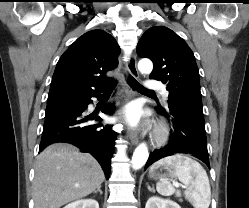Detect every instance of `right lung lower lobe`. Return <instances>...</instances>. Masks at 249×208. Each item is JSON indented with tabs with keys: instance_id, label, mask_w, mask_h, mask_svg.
I'll list each match as a JSON object with an SVG mask.
<instances>
[{
	"instance_id": "1",
	"label": "right lung lower lobe",
	"mask_w": 249,
	"mask_h": 208,
	"mask_svg": "<svg viewBox=\"0 0 249 208\" xmlns=\"http://www.w3.org/2000/svg\"><path fill=\"white\" fill-rule=\"evenodd\" d=\"M101 92L85 98L47 104L39 151L52 143L74 144L82 152H88L98 160L108 179L116 133L110 125L89 124L88 120L102 119L86 115L87 106L92 102L91 97H99ZM114 110L112 104L101 109L107 114H112Z\"/></svg>"
}]
</instances>
